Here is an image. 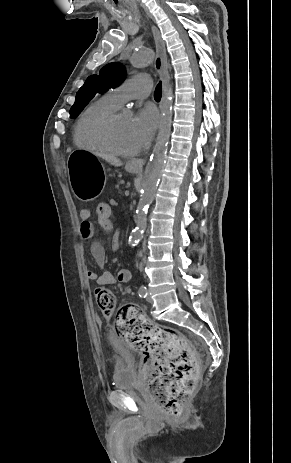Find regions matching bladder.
Here are the masks:
<instances>
[{"label": "bladder", "mask_w": 291, "mask_h": 463, "mask_svg": "<svg viewBox=\"0 0 291 463\" xmlns=\"http://www.w3.org/2000/svg\"><path fill=\"white\" fill-rule=\"evenodd\" d=\"M134 359L120 354L117 357L114 369L115 386L119 389L132 388L136 384V375L133 370Z\"/></svg>", "instance_id": "obj_1"}]
</instances>
